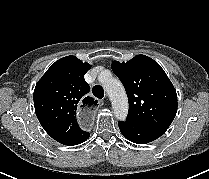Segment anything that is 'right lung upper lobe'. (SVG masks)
I'll list each match as a JSON object with an SVG mask.
<instances>
[{
  "label": "right lung upper lobe",
  "instance_id": "right-lung-upper-lobe-1",
  "mask_svg": "<svg viewBox=\"0 0 209 179\" xmlns=\"http://www.w3.org/2000/svg\"><path fill=\"white\" fill-rule=\"evenodd\" d=\"M91 68L75 56L57 60L37 82L33 98L36 116L53 139L70 145L85 133L77 122V108L91 109L97 101L88 96L84 75Z\"/></svg>",
  "mask_w": 209,
  "mask_h": 179
}]
</instances>
